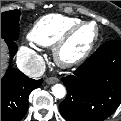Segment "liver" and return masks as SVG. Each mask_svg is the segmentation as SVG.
Segmentation results:
<instances>
[{
  "mask_svg": "<svg viewBox=\"0 0 121 121\" xmlns=\"http://www.w3.org/2000/svg\"><path fill=\"white\" fill-rule=\"evenodd\" d=\"M7 47L3 40L1 39V76L5 70L6 62H7Z\"/></svg>",
  "mask_w": 121,
  "mask_h": 121,
  "instance_id": "liver-1",
  "label": "liver"
}]
</instances>
